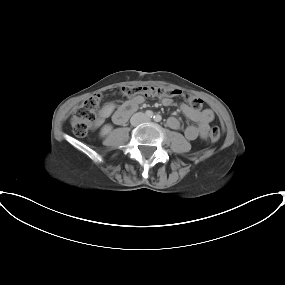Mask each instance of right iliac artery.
<instances>
[{"mask_svg":"<svg viewBox=\"0 0 285 285\" xmlns=\"http://www.w3.org/2000/svg\"><path fill=\"white\" fill-rule=\"evenodd\" d=\"M145 115L147 116V117H149V118H152L153 117V112L151 111V110H147L146 112H145Z\"/></svg>","mask_w":285,"mask_h":285,"instance_id":"82829eb1","label":"right iliac artery"}]
</instances>
